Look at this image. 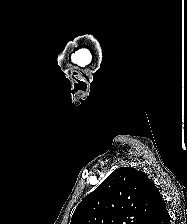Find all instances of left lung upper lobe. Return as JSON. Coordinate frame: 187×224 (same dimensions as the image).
Here are the masks:
<instances>
[{
	"label": "left lung upper lobe",
	"instance_id": "left-lung-upper-lobe-1",
	"mask_svg": "<svg viewBox=\"0 0 187 224\" xmlns=\"http://www.w3.org/2000/svg\"><path fill=\"white\" fill-rule=\"evenodd\" d=\"M162 201L144 172L121 167L83 198L70 224H149Z\"/></svg>",
	"mask_w": 187,
	"mask_h": 224
}]
</instances>
